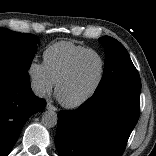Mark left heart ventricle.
Returning a JSON list of instances; mask_svg holds the SVG:
<instances>
[{"instance_id":"left-heart-ventricle-1","label":"left heart ventricle","mask_w":156,"mask_h":156,"mask_svg":"<svg viewBox=\"0 0 156 156\" xmlns=\"http://www.w3.org/2000/svg\"><path fill=\"white\" fill-rule=\"evenodd\" d=\"M100 71L101 63L95 54L83 57L71 78L61 87L60 98L65 102H74L85 96L97 83Z\"/></svg>"}]
</instances>
